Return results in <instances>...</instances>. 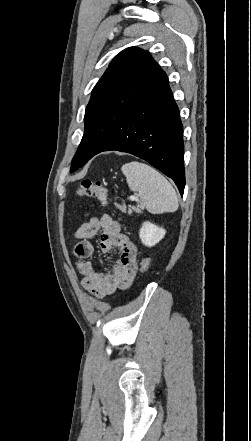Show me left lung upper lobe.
Masks as SVG:
<instances>
[{
    "mask_svg": "<svg viewBox=\"0 0 251 441\" xmlns=\"http://www.w3.org/2000/svg\"><path fill=\"white\" fill-rule=\"evenodd\" d=\"M164 74L147 51L136 47L121 51L92 90L85 110L84 135L99 119L129 113L136 101ZM84 135L72 159L71 172L81 167L86 159Z\"/></svg>",
    "mask_w": 251,
    "mask_h": 441,
    "instance_id": "left-lung-upper-lobe-1",
    "label": "left lung upper lobe"
}]
</instances>
